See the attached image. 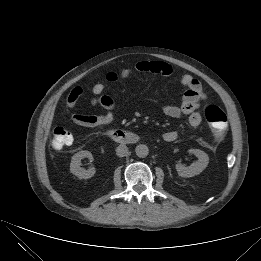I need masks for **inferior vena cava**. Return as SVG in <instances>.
<instances>
[{"label": "inferior vena cava", "instance_id": "602c4592", "mask_svg": "<svg viewBox=\"0 0 261 261\" xmlns=\"http://www.w3.org/2000/svg\"><path fill=\"white\" fill-rule=\"evenodd\" d=\"M116 154L119 157H124L128 154V147L126 145L120 144L116 149Z\"/></svg>", "mask_w": 261, "mask_h": 261}]
</instances>
